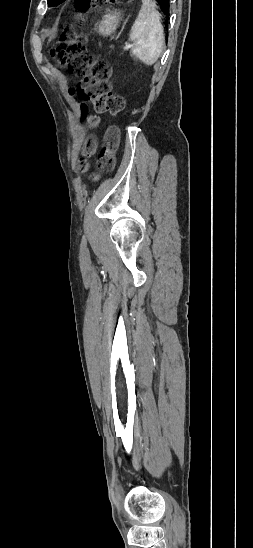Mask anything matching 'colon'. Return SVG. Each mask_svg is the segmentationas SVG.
I'll use <instances>...</instances> for the list:
<instances>
[{
  "label": "colon",
  "mask_w": 253,
  "mask_h": 548,
  "mask_svg": "<svg viewBox=\"0 0 253 548\" xmlns=\"http://www.w3.org/2000/svg\"><path fill=\"white\" fill-rule=\"evenodd\" d=\"M104 2L106 0H75L76 6L81 13L91 12ZM50 54L58 66L65 68L75 76L81 77L74 93L83 102H91L97 114L109 113L115 115L124 110V98L112 91L110 66L104 61L94 60L81 40L68 33H63L51 48ZM81 115L90 124L98 122L97 116H88L86 105H82ZM119 143V130L116 127H110L105 133L104 146L97 158V167L100 172L107 173L113 170L115 153ZM94 149V141L88 140L84 148V157L78 162L79 170L85 171L87 169L85 156L91 154Z\"/></svg>",
  "instance_id": "1"
}]
</instances>
